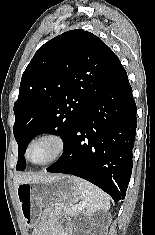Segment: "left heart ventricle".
I'll use <instances>...</instances> for the list:
<instances>
[{
  "label": "left heart ventricle",
  "instance_id": "1",
  "mask_svg": "<svg viewBox=\"0 0 155 235\" xmlns=\"http://www.w3.org/2000/svg\"><path fill=\"white\" fill-rule=\"evenodd\" d=\"M57 143L53 140L37 142L30 151V159L36 163L50 159L57 151Z\"/></svg>",
  "mask_w": 155,
  "mask_h": 235
}]
</instances>
